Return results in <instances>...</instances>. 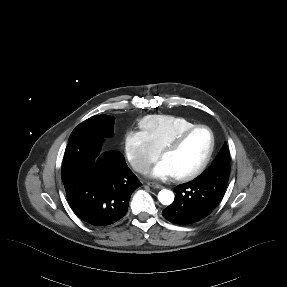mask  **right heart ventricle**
I'll return each instance as SVG.
<instances>
[{"mask_svg":"<svg viewBox=\"0 0 287 287\" xmlns=\"http://www.w3.org/2000/svg\"><path fill=\"white\" fill-rule=\"evenodd\" d=\"M139 125L150 143L160 151L179 133L194 126L195 123L184 116L154 114L145 116Z\"/></svg>","mask_w":287,"mask_h":287,"instance_id":"1","label":"right heart ventricle"}]
</instances>
